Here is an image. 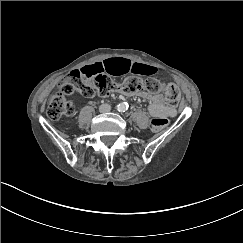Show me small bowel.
<instances>
[{"instance_id": "c3829d8e", "label": "small bowel", "mask_w": 243, "mask_h": 243, "mask_svg": "<svg viewBox=\"0 0 243 243\" xmlns=\"http://www.w3.org/2000/svg\"><path fill=\"white\" fill-rule=\"evenodd\" d=\"M80 71L85 74L102 72L114 76L129 72L141 75H153L156 73V68L147 64L134 62L126 58H115L90 64L83 67ZM143 96L151 100V104L148 106V112L152 116L157 118H166L174 117L176 115L175 108L166 105L161 96H151L147 93H143Z\"/></svg>"}]
</instances>
